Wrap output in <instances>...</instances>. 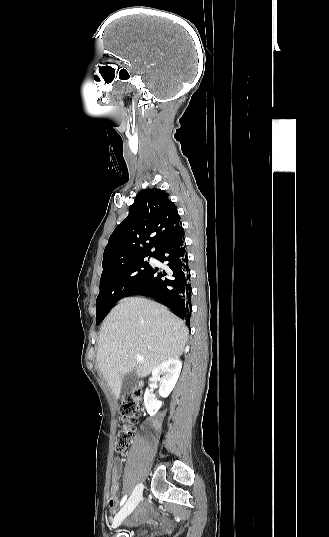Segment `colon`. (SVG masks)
I'll return each instance as SVG.
<instances>
[{
  "instance_id": "colon-1",
  "label": "colon",
  "mask_w": 329,
  "mask_h": 537,
  "mask_svg": "<svg viewBox=\"0 0 329 537\" xmlns=\"http://www.w3.org/2000/svg\"><path fill=\"white\" fill-rule=\"evenodd\" d=\"M139 396L140 392L135 390L132 394L126 396L124 399L121 407L123 428L117 432L114 441V450L116 453H123L131 443L134 425L137 421Z\"/></svg>"
}]
</instances>
